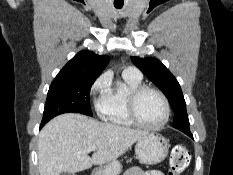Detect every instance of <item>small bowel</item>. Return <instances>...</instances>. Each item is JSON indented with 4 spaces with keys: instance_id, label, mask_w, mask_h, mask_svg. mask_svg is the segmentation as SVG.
<instances>
[{
    "instance_id": "obj_1",
    "label": "small bowel",
    "mask_w": 233,
    "mask_h": 175,
    "mask_svg": "<svg viewBox=\"0 0 233 175\" xmlns=\"http://www.w3.org/2000/svg\"><path fill=\"white\" fill-rule=\"evenodd\" d=\"M124 175H164L160 170H141L140 168H131Z\"/></svg>"
}]
</instances>
